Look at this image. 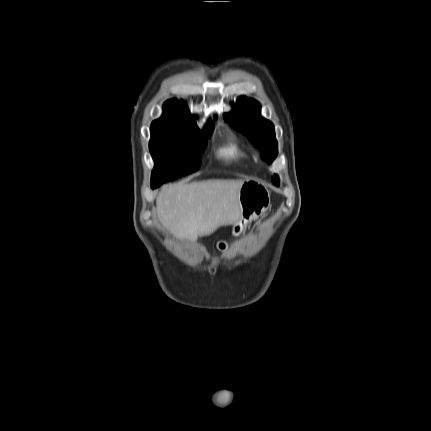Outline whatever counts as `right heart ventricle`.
<instances>
[{
  "mask_svg": "<svg viewBox=\"0 0 431 431\" xmlns=\"http://www.w3.org/2000/svg\"><path fill=\"white\" fill-rule=\"evenodd\" d=\"M218 155L227 162H243L247 158V153L235 142H229L222 147Z\"/></svg>",
  "mask_w": 431,
  "mask_h": 431,
  "instance_id": "e07e8e85",
  "label": "right heart ventricle"
}]
</instances>
